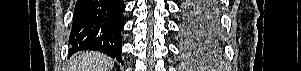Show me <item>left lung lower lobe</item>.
Masks as SVG:
<instances>
[{"label":"left lung lower lobe","mask_w":301,"mask_h":71,"mask_svg":"<svg viewBox=\"0 0 301 71\" xmlns=\"http://www.w3.org/2000/svg\"><path fill=\"white\" fill-rule=\"evenodd\" d=\"M216 2L196 0L184 3V33L198 46L215 47L217 41Z\"/></svg>","instance_id":"0a47b994"}]
</instances>
